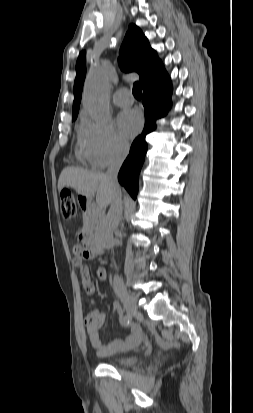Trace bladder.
Masks as SVG:
<instances>
[{"label": "bladder", "mask_w": 253, "mask_h": 413, "mask_svg": "<svg viewBox=\"0 0 253 413\" xmlns=\"http://www.w3.org/2000/svg\"><path fill=\"white\" fill-rule=\"evenodd\" d=\"M137 361L138 357L134 355L120 356L107 360L108 363L116 366H130L135 364Z\"/></svg>", "instance_id": "1"}]
</instances>
